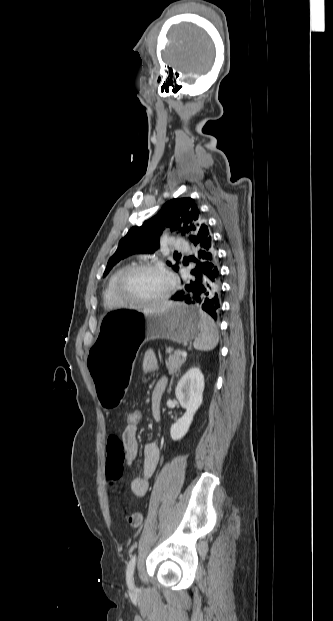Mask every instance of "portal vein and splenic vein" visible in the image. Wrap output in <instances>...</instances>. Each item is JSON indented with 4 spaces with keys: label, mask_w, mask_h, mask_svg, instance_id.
Listing matches in <instances>:
<instances>
[{
    "label": "portal vein and splenic vein",
    "mask_w": 333,
    "mask_h": 621,
    "mask_svg": "<svg viewBox=\"0 0 333 621\" xmlns=\"http://www.w3.org/2000/svg\"><path fill=\"white\" fill-rule=\"evenodd\" d=\"M181 357H182V358H186V357H187V352H182V353H181Z\"/></svg>",
    "instance_id": "portal-vein-and-splenic-vein-1"
}]
</instances>
